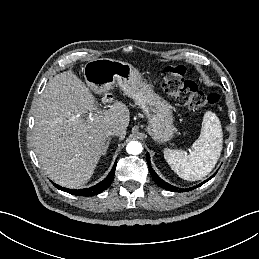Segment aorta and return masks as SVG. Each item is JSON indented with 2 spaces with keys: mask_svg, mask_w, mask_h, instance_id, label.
Wrapping results in <instances>:
<instances>
[{
  "mask_svg": "<svg viewBox=\"0 0 259 259\" xmlns=\"http://www.w3.org/2000/svg\"><path fill=\"white\" fill-rule=\"evenodd\" d=\"M143 147L138 141H131L126 146V151L132 155H138L142 152Z\"/></svg>",
  "mask_w": 259,
  "mask_h": 259,
  "instance_id": "obj_1",
  "label": "aorta"
}]
</instances>
